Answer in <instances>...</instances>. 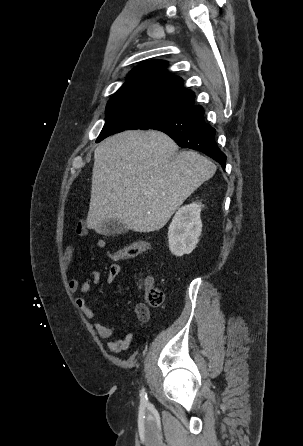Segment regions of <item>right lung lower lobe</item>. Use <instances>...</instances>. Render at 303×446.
Returning <instances> with one entry per match:
<instances>
[{"label":"right lung lower lobe","mask_w":303,"mask_h":446,"mask_svg":"<svg viewBox=\"0 0 303 446\" xmlns=\"http://www.w3.org/2000/svg\"><path fill=\"white\" fill-rule=\"evenodd\" d=\"M166 133L180 147L197 150L217 161L223 169L226 155L215 141V129L204 119V109L194 103L174 112L162 115L140 128Z\"/></svg>","instance_id":"obj_1"}]
</instances>
